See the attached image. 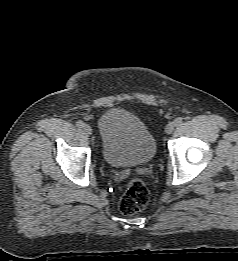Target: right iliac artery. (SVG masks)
I'll return each instance as SVG.
<instances>
[{
  "mask_svg": "<svg viewBox=\"0 0 238 261\" xmlns=\"http://www.w3.org/2000/svg\"><path fill=\"white\" fill-rule=\"evenodd\" d=\"M84 122H82V121H78L77 123H76V126L78 127V128H82V127H84Z\"/></svg>",
  "mask_w": 238,
  "mask_h": 261,
  "instance_id": "1",
  "label": "right iliac artery"
}]
</instances>
